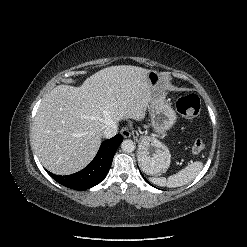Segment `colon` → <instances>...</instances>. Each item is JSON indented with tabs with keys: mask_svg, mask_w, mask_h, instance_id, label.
Returning <instances> with one entry per match:
<instances>
[{
	"mask_svg": "<svg viewBox=\"0 0 247 247\" xmlns=\"http://www.w3.org/2000/svg\"><path fill=\"white\" fill-rule=\"evenodd\" d=\"M177 111L189 120H194L198 116L200 110V100L195 94H189L181 97L176 102ZM205 144L203 140L197 139L192 145V151L194 153H200L204 150Z\"/></svg>",
	"mask_w": 247,
	"mask_h": 247,
	"instance_id": "5ec220e1",
	"label": "colon"
}]
</instances>
